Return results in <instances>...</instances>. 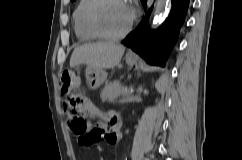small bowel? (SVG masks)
I'll return each mask as SVG.
<instances>
[{
  "mask_svg": "<svg viewBox=\"0 0 242 160\" xmlns=\"http://www.w3.org/2000/svg\"><path fill=\"white\" fill-rule=\"evenodd\" d=\"M106 118H107V120H106ZM106 118H105L106 128L103 126H98V127L94 128V129L101 130L100 137L96 140L95 144L98 143L101 139H104L108 144H116L119 142V140L121 138L119 117L116 115H110ZM68 123H69L71 130L74 132L73 125H72V119L70 117H69ZM76 135H78V134H76ZM82 145H84V144H82ZM84 146H88V145H84Z\"/></svg>",
  "mask_w": 242,
  "mask_h": 160,
  "instance_id": "1",
  "label": "small bowel"
}]
</instances>
